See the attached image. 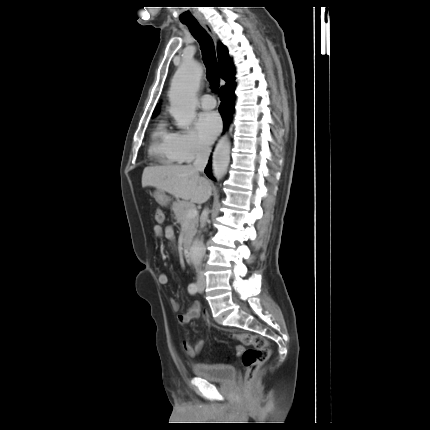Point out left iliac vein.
I'll return each mask as SVG.
<instances>
[{
  "instance_id": "4c4485c4",
  "label": "left iliac vein",
  "mask_w": 430,
  "mask_h": 430,
  "mask_svg": "<svg viewBox=\"0 0 430 430\" xmlns=\"http://www.w3.org/2000/svg\"><path fill=\"white\" fill-rule=\"evenodd\" d=\"M204 289H205V280H204V278H201L198 281V292L203 293Z\"/></svg>"
}]
</instances>
